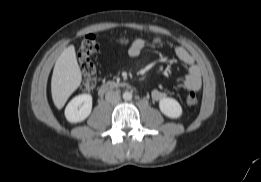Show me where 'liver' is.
<instances>
[{
    "mask_svg": "<svg viewBox=\"0 0 261 182\" xmlns=\"http://www.w3.org/2000/svg\"><path fill=\"white\" fill-rule=\"evenodd\" d=\"M82 75L77 63L75 47L68 46L56 60L51 79V93L55 106L61 109L80 86Z\"/></svg>",
    "mask_w": 261,
    "mask_h": 182,
    "instance_id": "1",
    "label": "liver"
}]
</instances>
